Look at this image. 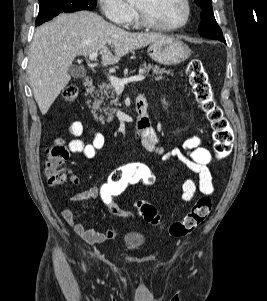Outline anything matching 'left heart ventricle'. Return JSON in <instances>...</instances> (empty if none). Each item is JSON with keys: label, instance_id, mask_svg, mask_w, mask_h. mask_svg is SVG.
I'll return each instance as SVG.
<instances>
[{"label": "left heart ventricle", "instance_id": "left-heart-ventricle-1", "mask_svg": "<svg viewBox=\"0 0 267 301\" xmlns=\"http://www.w3.org/2000/svg\"><path fill=\"white\" fill-rule=\"evenodd\" d=\"M133 6L141 9L148 18L161 25L179 23L185 14L182 0H134Z\"/></svg>", "mask_w": 267, "mask_h": 301}]
</instances>
